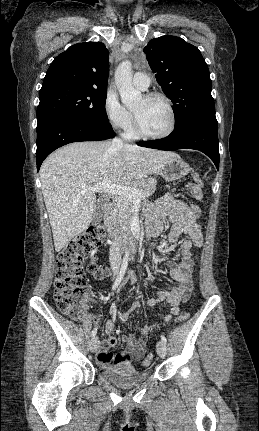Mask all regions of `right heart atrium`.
Segmentation results:
<instances>
[{"label": "right heart atrium", "instance_id": "obj_1", "mask_svg": "<svg viewBox=\"0 0 259 431\" xmlns=\"http://www.w3.org/2000/svg\"><path fill=\"white\" fill-rule=\"evenodd\" d=\"M103 110L107 122L116 130H126L132 124V114L120 103L113 90L107 92Z\"/></svg>", "mask_w": 259, "mask_h": 431}]
</instances>
